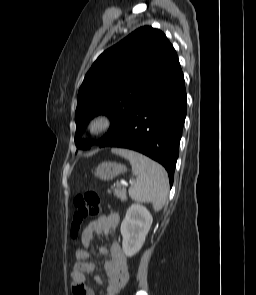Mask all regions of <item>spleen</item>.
I'll return each instance as SVG.
<instances>
[{
  "mask_svg": "<svg viewBox=\"0 0 256 295\" xmlns=\"http://www.w3.org/2000/svg\"><path fill=\"white\" fill-rule=\"evenodd\" d=\"M127 158L132 166L136 180L129 188L130 197L137 202H150L155 211L164 206L169 189L168 175L165 169L148 157L131 150H114Z\"/></svg>",
  "mask_w": 256,
  "mask_h": 295,
  "instance_id": "3e777b00",
  "label": "spleen"
}]
</instances>
